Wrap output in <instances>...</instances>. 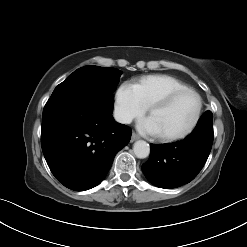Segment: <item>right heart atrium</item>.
<instances>
[{
    "label": "right heart atrium",
    "mask_w": 247,
    "mask_h": 247,
    "mask_svg": "<svg viewBox=\"0 0 247 247\" xmlns=\"http://www.w3.org/2000/svg\"><path fill=\"white\" fill-rule=\"evenodd\" d=\"M114 111L122 123H129L145 113L146 108L134 84L125 82L119 86L115 94Z\"/></svg>",
    "instance_id": "d8ad5b80"
}]
</instances>
